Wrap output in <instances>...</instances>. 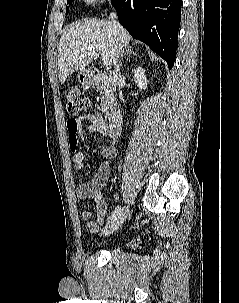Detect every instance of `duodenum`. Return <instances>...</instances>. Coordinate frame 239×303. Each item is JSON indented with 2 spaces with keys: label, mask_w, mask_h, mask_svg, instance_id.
<instances>
[{
  "label": "duodenum",
  "mask_w": 239,
  "mask_h": 303,
  "mask_svg": "<svg viewBox=\"0 0 239 303\" xmlns=\"http://www.w3.org/2000/svg\"><path fill=\"white\" fill-rule=\"evenodd\" d=\"M94 86L111 91L117 85V77L113 72L93 70L88 75ZM106 127L111 136H118L122 132L123 118L120 109L112 106L107 113Z\"/></svg>",
  "instance_id": "obj_1"
}]
</instances>
